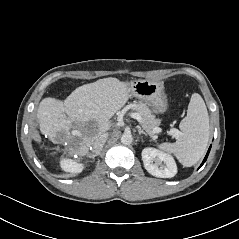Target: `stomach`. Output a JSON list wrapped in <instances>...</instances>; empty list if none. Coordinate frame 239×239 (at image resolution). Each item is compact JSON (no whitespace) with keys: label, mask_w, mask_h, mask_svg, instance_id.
<instances>
[{"label":"stomach","mask_w":239,"mask_h":239,"mask_svg":"<svg viewBox=\"0 0 239 239\" xmlns=\"http://www.w3.org/2000/svg\"><path fill=\"white\" fill-rule=\"evenodd\" d=\"M130 95L148 103L157 113H165L168 99L161 82L138 80L129 84Z\"/></svg>","instance_id":"1"}]
</instances>
